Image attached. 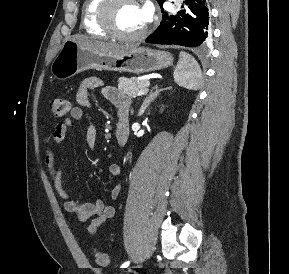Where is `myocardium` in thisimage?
<instances>
[{
	"label": "myocardium",
	"instance_id": "f54148a6",
	"mask_svg": "<svg viewBox=\"0 0 289 274\" xmlns=\"http://www.w3.org/2000/svg\"><path fill=\"white\" fill-rule=\"evenodd\" d=\"M122 3L138 4L137 0H103L98 10V23L101 28L110 36L123 41H136L142 39L149 30L146 25L137 33L125 34L120 32L114 24V14L117 7Z\"/></svg>",
	"mask_w": 289,
	"mask_h": 274
}]
</instances>
